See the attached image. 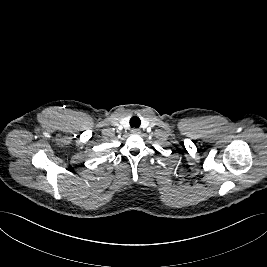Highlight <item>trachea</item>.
I'll return each mask as SVG.
<instances>
[{"instance_id":"1","label":"trachea","mask_w":267,"mask_h":267,"mask_svg":"<svg viewBox=\"0 0 267 267\" xmlns=\"http://www.w3.org/2000/svg\"><path fill=\"white\" fill-rule=\"evenodd\" d=\"M140 124H141V121H140V119L137 116H133L130 119V126L132 128H139Z\"/></svg>"}]
</instances>
